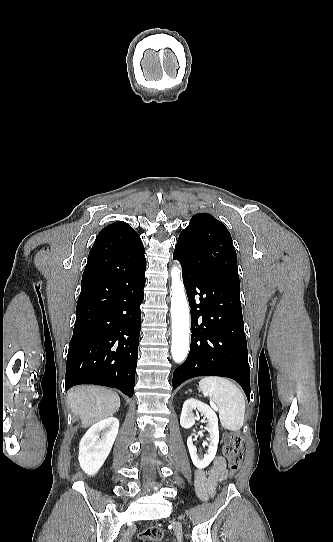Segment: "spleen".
<instances>
[{
    "instance_id": "1",
    "label": "spleen",
    "mask_w": 333,
    "mask_h": 542,
    "mask_svg": "<svg viewBox=\"0 0 333 542\" xmlns=\"http://www.w3.org/2000/svg\"><path fill=\"white\" fill-rule=\"evenodd\" d=\"M199 388L204 396L212 398L219 412L221 426L230 432H239L244 424L246 410L245 398L238 386L226 380L209 376L199 382Z\"/></svg>"
}]
</instances>
